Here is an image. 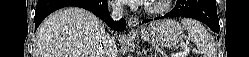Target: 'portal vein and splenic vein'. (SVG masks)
I'll use <instances>...</instances> for the list:
<instances>
[{
	"mask_svg": "<svg viewBox=\"0 0 249 57\" xmlns=\"http://www.w3.org/2000/svg\"><path fill=\"white\" fill-rule=\"evenodd\" d=\"M182 47H183V51L182 52L173 54L171 56L172 57H182V56L187 55V53L189 52V50L187 49L186 45H182Z\"/></svg>",
	"mask_w": 249,
	"mask_h": 57,
	"instance_id": "18ae733b",
	"label": "portal vein and splenic vein"
}]
</instances>
